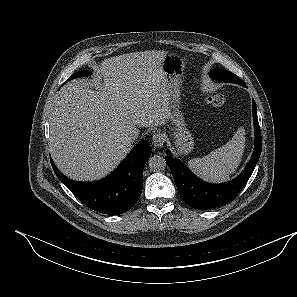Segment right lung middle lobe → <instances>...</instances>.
Wrapping results in <instances>:
<instances>
[{"instance_id":"dd1d6c3e","label":"right lung middle lobe","mask_w":297,"mask_h":297,"mask_svg":"<svg viewBox=\"0 0 297 297\" xmlns=\"http://www.w3.org/2000/svg\"><path fill=\"white\" fill-rule=\"evenodd\" d=\"M89 75H91V72L90 71H79V72H77V73H74L73 75H72V77H70L68 80H72L73 78H80V77H87V76H89Z\"/></svg>"}]
</instances>
